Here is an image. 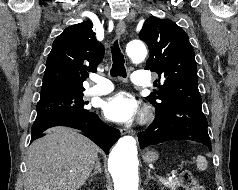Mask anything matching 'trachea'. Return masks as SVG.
<instances>
[{
  "instance_id": "obj_1",
  "label": "trachea",
  "mask_w": 238,
  "mask_h": 190,
  "mask_svg": "<svg viewBox=\"0 0 238 190\" xmlns=\"http://www.w3.org/2000/svg\"><path fill=\"white\" fill-rule=\"evenodd\" d=\"M113 65L111 68V76H121L126 77V69L124 66V57L120 52L118 41L116 40L111 49Z\"/></svg>"
}]
</instances>
